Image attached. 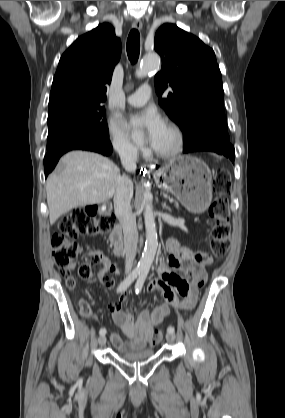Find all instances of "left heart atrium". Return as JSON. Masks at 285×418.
<instances>
[{"label":"left heart atrium","instance_id":"left-heart-atrium-1","mask_svg":"<svg viewBox=\"0 0 285 418\" xmlns=\"http://www.w3.org/2000/svg\"><path fill=\"white\" fill-rule=\"evenodd\" d=\"M131 123L146 131L147 141L155 147L160 135L166 128L164 119L154 109H147L132 115Z\"/></svg>","mask_w":285,"mask_h":418}]
</instances>
